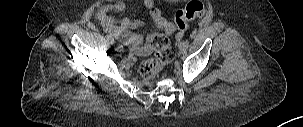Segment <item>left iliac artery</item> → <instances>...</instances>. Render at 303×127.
Wrapping results in <instances>:
<instances>
[{
    "mask_svg": "<svg viewBox=\"0 0 303 127\" xmlns=\"http://www.w3.org/2000/svg\"><path fill=\"white\" fill-rule=\"evenodd\" d=\"M184 43H185V46L188 48L189 47V41L186 40V41H184Z\"/></svg>",
    "mask_w": 303,
    "mask_h": 127,
    "instance_id": "left-iliac-artery-1",
    "label": "left iliac artery"
}]
</instances>
